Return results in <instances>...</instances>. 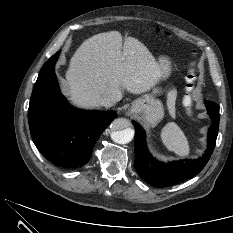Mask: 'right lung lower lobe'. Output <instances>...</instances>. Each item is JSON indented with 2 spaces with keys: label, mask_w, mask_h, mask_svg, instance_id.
Instances as JSON below:
<instances>
[{
  "label": "right lung lower lobe",
  "mask_w": 233,
  "mask_h": 233,
  "mask_svg": "<svg viewBox=\"0 0 233 233\" xmlns=\"http://www.w3.org/2000/svg\"><path fill=\"white\" fill-rule=\"evenodd\" d=\"M59 53L42 67L34 85L28 120L34 144L48 160L64 168L84 165L99 136L115 118L114 111L72 107L61 95L54 73Z\"/></svg>",
  "instance_id": "98d812e1"
}]
</instances>
